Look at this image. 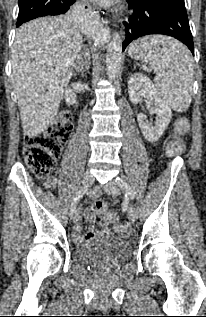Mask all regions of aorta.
Returning <instances> with one entry per match:
<instances>
[{"label": "aorta", "mask_w": 206, "mask_h": 317, "mask_svg": "<svg viewBox=\"0 0 206 317\" xmlns=\"http://www.w3.org/2000/svg\"><path fill=\"white\" fill-rule=\"evenodd\" d=\"M81 25L83 30L92 35L99 32V23L90 13L82 15ZM122 62V40L117 32H115L107 47L106 54V74L109 80H114L121 68Z\"/></svg>", "instance_id": "762f6f07"}]
</instances>
